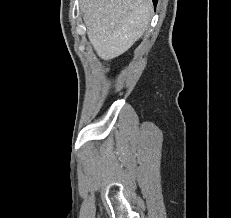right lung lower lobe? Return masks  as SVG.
<instances>
[{
	"label": "right lung lower lobe",
	"instance_id": "98d812e1",
	"mask_svg": "<svg viewBox=\"0 0 231 218\" xmlns=\"http://www.w3.org/2000/svg\"><path fill=\"white\" fill-rule=\"evenodd\" d=\"M152 1H153L154 5H156L158 0H152Z\"/></svg>",
	"mask_w": 231,
	"mask_h": 218
}]
</instances>
